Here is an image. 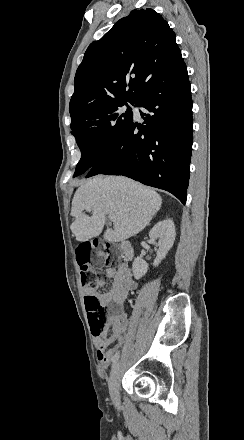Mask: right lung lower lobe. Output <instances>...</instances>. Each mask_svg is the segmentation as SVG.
I'll return each instance as SVG.
<instances>
[{"instance_id": "1", "label": "right lung lower lobe", "mask_w": 244, "mask_h": 440, "mask_svg": "<svg viewBox=\"0 0 244 440\" xmlns=\"http://www.w3.org/2000/svg\"><path fill=\"white\" fill-rule=\"evenodd\" d=\"M136 106L144 122L133 119L113 145L89 169L124 175L187 198L192 150V100L185 63L159 71L148 80Z\"/></svg>"}]
</instances>
